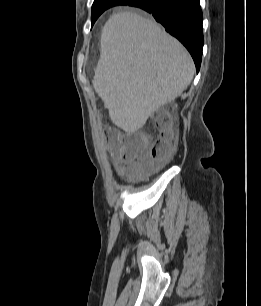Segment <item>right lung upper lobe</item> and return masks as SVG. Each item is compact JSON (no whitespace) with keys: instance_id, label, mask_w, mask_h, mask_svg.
I'll return each mask as SVG.
<instances>
[{"instance_id":"cb5924a9","label":"right lung upper lobe","mask_w":261,"mask_h":306,"mask_svg":"<svg viewBox=\"0 0 261 306\" xmlns=\"http://www.w3.org/2000/svg\"><path fill=\"white\" fill-rule=\"evenodd\" d=\"M100 1H105V0H94V3H98ZM128 1V0H127Z\"/></svg>"}]
</instances>
